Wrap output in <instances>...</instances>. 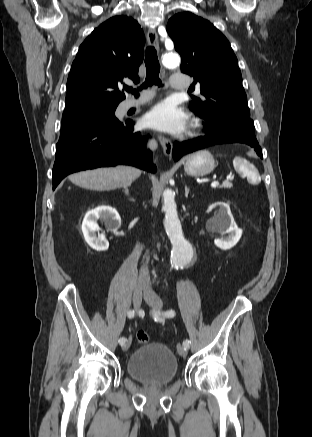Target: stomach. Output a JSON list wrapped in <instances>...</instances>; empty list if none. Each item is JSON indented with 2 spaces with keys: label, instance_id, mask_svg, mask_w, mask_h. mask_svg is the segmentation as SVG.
<instances>
[{
  "label": "stomach",
  "instance_id": "obj_1",
  "mask_svg": "<svg viewBox=\"0 0 312 437\" xmlns=\"http://www.w3.org/2000/svg\"><path fill=\"white\" fill-rule=\"evenodd\" d=\"M215 166V160L210 152L202 150L185 158L184 171L189 176L200 177L211 173Z\"/></svg>",
  "mask_w": 312,
  "mask_h": 437
}]
</instances>
